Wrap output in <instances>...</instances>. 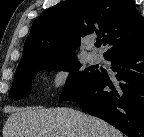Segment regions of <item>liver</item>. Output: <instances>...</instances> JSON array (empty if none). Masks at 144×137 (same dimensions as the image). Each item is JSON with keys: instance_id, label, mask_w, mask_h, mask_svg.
Wrapping results in <instances>:
<instances>
[{"instance_id": "6515ba94", "label": "liver", "mask_w": 144, "mask_h": 137, "mask_svg": "<svg viewBox=\"0 0 144 137\" xmlns=\"http://www.w3.org/2000/svg\"><path fill=\"white\" fill-rule=\"evenodd\" d=\"M3 137H123L105 121L80 111L58 107L16 108L8 117Z\"/></svg>"}]
</instances>
